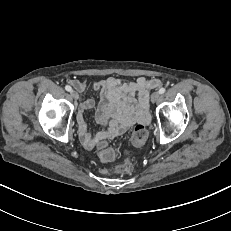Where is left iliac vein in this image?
<instances>
[{
	"instance_id": "left-iliac-vein-1",
	"label": "left iliac vein",
	"mask_w": 231,
	"mask_h": 231,
	"mask_svg": "<svg viewBox=\"0 0 231 231\" xmlns=\"http://www.w3.org/2000/svg\"><path fill=\"white\" fill-rule=\"evenodd\" d=\"M160 99V93L159 92H153L151 95V101L153 103L157 102Z\"/></svg>"
}]
</instances>
